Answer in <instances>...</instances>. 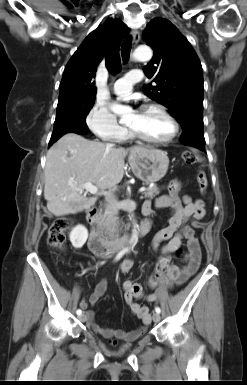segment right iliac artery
<instances>
[{"instance_id": "1", "label": "right iliac artery", "mask_w": 247, "mask_h": 385, "mask_svg": "<svg viewBox=\"0 0 247 385\" xmlns=\"http://www.w3.org/2000/svg\"><path fill=\"white\" fill-rule=\"evenodd\" d=\"M124 253H125L124 250L121 251V252L116 256V260L120 259V258L123 256ZM76 313H77V315H81V314H82L81 309H78V310L76 311Z\"/></svg>"}]
</instances>
